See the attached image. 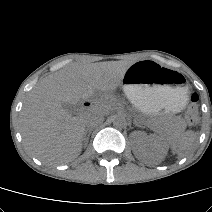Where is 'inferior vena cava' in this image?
I'll return each instance as SVG.
<instances>
[{"label":"inferior vena cava","mask_w":212,"mask_h":212,"mask_svg":"<svg viewBox=\"0 0 212 212\" xmlns=\"http://www.w3.org/2000/svg\"><path fill=\"white\" fill-rule=\"evenodd\" d=\"M104 121V116L102 113L99 112H90L86 114L85 117V125L88 128H93L98 126L99 124L103 123Z\"/></svg>","instance_id":"inferior-vena-cava-1"}]
</instances>
